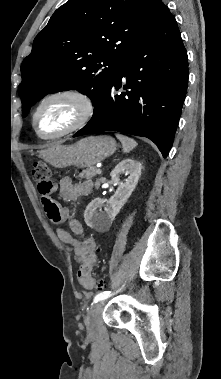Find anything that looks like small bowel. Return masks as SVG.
Wrapping results in <instances>:
<instances>
[{
    "mask_svg": "<svg viewBox=\"0 0 221 379\" xmlns=\"http://www.w3.org/2000/svg\"><path fill=\"white\" fill-rule=\"evenodd\" d=\"M92 183L85 180L81 183H74L72 178L65 176L59 180V191L63 199L71 201L80 197L86 196L90 193ZM56 190L53 184L51 191L47 195H41L42 204L44 205L45 212L48 219L56 224L63 222L68 223L69 230L60 227L57 229L59 239L68 245L72 251L76 261L80 262L83 258L84 247L79 243L75 236H82L85 234V228L75 218H72L66 208L61 207L55 198H51V194Z\"/></svg>",
    "mask_w": 221,
    "mask_h": 379,
    "instance_id": "obj_1",
    "label": "small bowel"
}]
</instances>
